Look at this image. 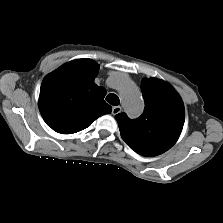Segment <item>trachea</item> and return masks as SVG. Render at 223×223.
Wrapping results in <instances>:
<instances>
[{
	"label": "trachea",
	"instance_id": "1",
	"mask_svg": "<svg viewBox=\"0 0 223 223\" xmlns=\"http://www.w3.org/2000/svg\"><path fill=\"white\" fill-rule=\"evenodd\" d=\"M106 101L113 106H117L120 103V100L116 94H108Z\"/></svg>",
	"mask_w": 223,
	"mask_h": 223
}]
</instances>
